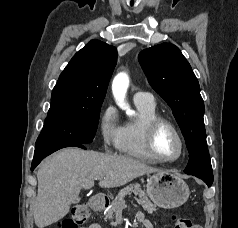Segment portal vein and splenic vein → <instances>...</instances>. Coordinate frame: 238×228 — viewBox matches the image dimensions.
I'll return each instance as SVG.
<instances>
[{"instance_id": "portal-vein-and-splenic-vein-1", "label": "portal vein and splenic vein", "mask_w": 238, "mask_h": 228, "mask_svg": "<svg viewBox=\"0 0 238 228\" xmlns=\"http://www.w3.org/2000/svg\"><path fill=\"white\" fill-rule=\"evenodd\" d=\"M96 179H99V180H101L102 178H100V177H99V178H96Z\"/></svg>"}]
</instances>
